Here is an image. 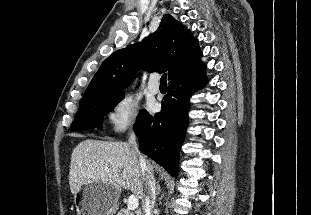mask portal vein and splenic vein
<instances>
[{
  "label": "portal vein and splenic vein",
  "mask_w": 311,
  "mask_h": 215,
  "mask_svg": "<svg viewBox=\"0 0 311 215\" xmlns=\"http://www.w3.org/2000/svg\"><path fill=\"white\" fill-rule=\"evenodd\" d=\"M139 202L136 196L131 195L128 199L127 208L128 210H136L138 208Z\"/></svg>",
  "instance_id": "18ae733b"
}]
</instances>
